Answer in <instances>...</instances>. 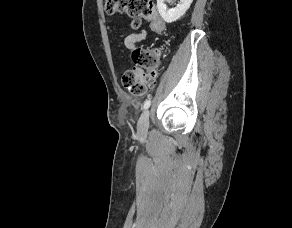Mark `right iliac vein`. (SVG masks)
<instances>
[{"mask_svg": "<svg viewBox=\"0 0 292 228\" xmlns=\"http://www.w3.org/2000/svg\"><path fill=\"white\" fill-rule=\"evenodd\" d=\"M149 115H150V112L146 110L141 114L139 118L137 130L140 136H145L148 131Z\"/></svg>", "mask_w": 292, "mask_h": 228, "instance_id": "63e3f726", "label": "right iliac vein"}]
</instances>
